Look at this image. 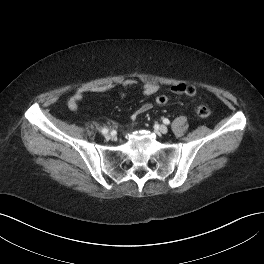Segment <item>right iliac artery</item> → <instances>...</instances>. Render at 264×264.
Wrapping results in <instances>:
<instances>
[{
	"label": "right iliac artery",
	"instance_id": "82829eb1",
	"mask_svg": "<svg viewBox=\"0 0 264 264\" xmlns=\"http://www.w3.org/2000/svg\"><path fill=\"white\" fill-rule=\"evenodd\" d=\"M101 132H102L103 134H106V133H108V129H106V128H102V129H101Z\"/></svg>",
	"mask_w": 264,
	"mask_h": 264
}]
</instances>
